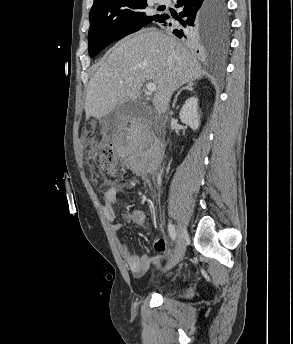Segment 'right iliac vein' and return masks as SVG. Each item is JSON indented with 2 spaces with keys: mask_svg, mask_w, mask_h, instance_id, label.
Here are the masks:
<instances>
[{
  "mask_svg": "<svg viewBox=\"0 0 293 344\" xmlns=\"http://www.w3.org/2000/svg\"><path fill=\"white\" fill-rule=\"evenodd\" d=\"M188 238V234L186 229L183 226H179L177 230V244L174 255L172 256L171 260L169 261L166 269L173 268L184 256L186 251V240Z\"/></svg>",
  "mask_w": 293,
  "mask_h": 344,
  "instance_id": "right-iliac-vein-1",
  "label": "right iliac vein"
}]
</instances>
